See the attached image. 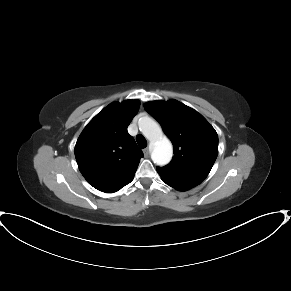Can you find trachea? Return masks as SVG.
Listing matches in <instances>:
<instances>
[{"instance_id": "1", "label": "trachea", "mask_w": 291, "mask_h": 291, "mask_svg": "<svg viewBox=\"0 0 291 291\" xmlns=\"http://www.w3.org/2000/svg\"><path fill=\"white\" fill-rule=\"evenodd\" d=\"M136 141H137L139 147L142 149L147 146V141H146L145 137L141 134L136 136Z\"/></svg>"}]
</instances>
